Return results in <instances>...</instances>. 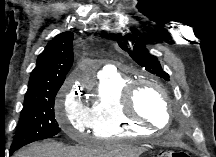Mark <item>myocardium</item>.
Here are the masks:
<instances>
[{
	"label": "myocardium",
	"mask_w": 216,
	"mask_h": 157,
	"mask_svg": "<svg viewBox=\"0 0 216 157\" xmlns=\"http://www.w3.org/2000/svg\"><path fill=\"white\" fill-rule=\"evenodd\" d=\"M143 85L151 86L157 89L162 97L164 102V106L167 112V121L165 125L159 126L153 123L148 118L143 117L138 113L135 107V99L139 89ZM121 105L123 113L127 118L134 121L135 123L154 128V129H163L166 128L172 119V111L169 103L168 93L166 89L157 81L151 79H135L131 80L123 89L122 96H121Z\"/></svg>",
	"instance_id": "myocardium-1"
}]
</instances>
